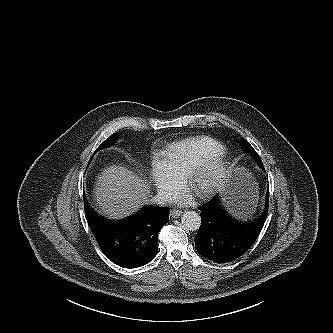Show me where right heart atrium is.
Here are the masks:
<instances>
[{
    "label": "right heart atrium",
    "mask_w": 333,
    "mask_h": 333,
    "mask_svg": "<svg viewBox=\"0 0 333 333\" xmlns=\"http://www.w3.org/2000/svg\"><path fill=\"white\" fill-rule=\"evenodd\" d=\"M149 178L161 198L166 199L177 192L182 186V180L175 175L165 160L155 157L150 165Z\"/></svg>",
    "instance_id": "d8ad5b80"
}]
</instances>
